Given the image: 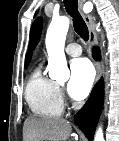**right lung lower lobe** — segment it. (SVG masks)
Returning a JSON list of instances; mask_svg holds the SVG:
<instances>
[{"label": "right lung lower lobe", "mask_w": 119, "mask_h": 141, "mask_svg": "<svg viewBox=\"0 0 119 141\" xmlns=\"http://www.w3.org/2000/svg\"><path fill=\"white\" fill-rule=\"evenodd\" d=\"M95 59H100L99 50L93 49ZM104 100L103 80H99L92 90L91 97L83 108L75 115V123L83 130L88 140L92 141ZM84 123V125H82Z\"/></svg>", "instance_id": "98d812e1"}]
</instances>
